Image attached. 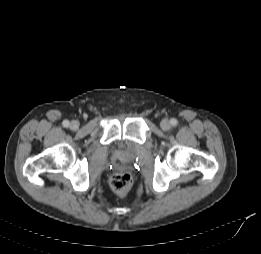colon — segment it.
<instances>
[{"instance_id":"5ec220e1","label":"colon","mask_w":261,"mask_h":254,"mask_svg":"<svg viewBox=\"0 0 261 254\" xmlns=\"http://www.w3.org/2000/svg\"><path fill=\"white\" fill-rule=\"evenodd\" d=\"M111 189L119 196H125L130 191L133 179L128 172H116L109 180Z\"/></svg>"}]
</instances>
